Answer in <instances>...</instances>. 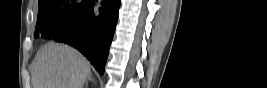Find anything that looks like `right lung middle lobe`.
Here are the masks:
<instances>
[{
    "mask_svg": "<svg viewBox=\"0 0 267 88\" xmlns=\"http://www.w3.org/2000/svg\"><path fill=\"white\" fill-rule=\"evenodd\" d=\"M92 3L91 0H39L34 37L52 35L75 23Z\"/></svg>",
    "mask_w": 267,
    "mask_h": 88,
    "instance_id": "obj_1",
    "label": "right lung middle lobe"
}]
</instances>
